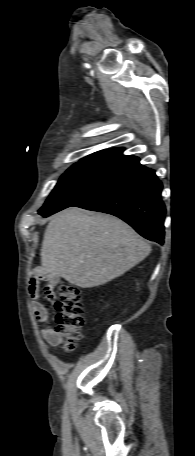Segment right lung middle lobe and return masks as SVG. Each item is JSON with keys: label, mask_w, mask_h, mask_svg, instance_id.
<instances>
[{"label": "right lung middle lobe", "mask_w": 195, "mask_h": 456, "mask_svg": "<svg viewBox=\"0 0 195 456\" xmlns=\"http://www.w3.org/2000/svg\"><path fill=\"white\" fill-rule=\"evenodd\" d=\"M122 171L120 168L75 163L62 175L40 210L51 215L74 206L105 187Z\"/></svg>", "instance_id": "1"}]
</instances>
